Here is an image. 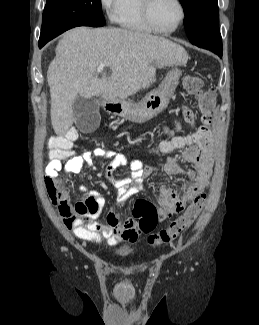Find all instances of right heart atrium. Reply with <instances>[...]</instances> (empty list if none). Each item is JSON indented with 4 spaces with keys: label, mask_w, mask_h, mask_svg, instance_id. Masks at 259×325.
<instances>
[{
    "label": "right heart atrium",
    "mask_w": 259,
    "mask_h": 325,
    "mask_svg": "<svg viewBox=\"0 0 259 325\" xmlns=\"http://www.w3.org/2000/svg\"><path fill=\"white\" fill-rule=\"evenodd\" d=\"M119 0H99L102 9L106 12L109 17H113Z\"/></svg>",
    "instance_id": "right-heart-atrium-1"
}]
</instances>
